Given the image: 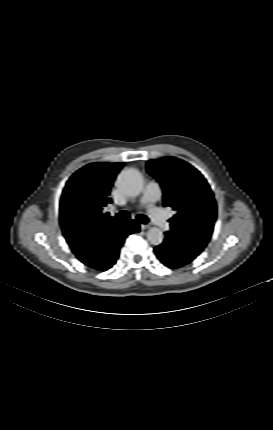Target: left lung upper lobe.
<instances>
[{
    "instance_id": "obj_1",
    "label": "left lung upper lobe",
    "mask_w": 273,
    "mask_h": 430,
    "mask_svg": "<svg viewBox=\"0 0 273 430\" xmlns=\"http://www.w3.org/2000/svg\"><path fill=\"white\" fill-rule=\"evenodd\" d=\"M146 169L162 186L163 205L176 211L168 233L181 250L199 255L211 238L217 211L207 181L189 163L174 157L150 160Z\"/></svg>"
}]
</instances>
